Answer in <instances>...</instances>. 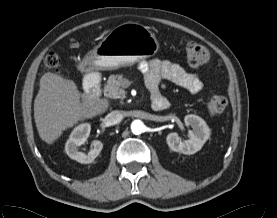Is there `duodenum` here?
I'll use <instances>...</instances> for the list:
<instances>
[{"label":"duodenum","mask_w":277,"mask_h":218,"mask_svg":"<svg viewBox=\"0 0 277 218\" xmlns=\"http://www.w3.org/2000/svg\"><path fill=\"white\" fill-rule=\"evenodd\" d=\"M101 93V78L96 72H91L84 79V90L82 96L85 100L96 99ZM168 102L163 98L157 100V110H165Z\"/></svg>","instance_id":"obj_1"}]
</instances>
